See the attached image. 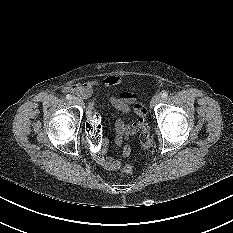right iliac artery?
Returning a JSON list of instances; mask_svg holds the SVG:
<instances>
[{"instance_id": "obj_1", "label": "right iliac artery", "mask_w": 233, "mask_h": 233, "mask_svg": "<svg viewBox=\"0 0 233 233\" xmlns=\"http://www.w3.org/2000/svg\"><path fill=\"white\" fill-rule=\"evenodd\" d=\"M72 98H73L72 95L70 94L66 95V99L71 100Z\"/></svg>"}]
</instances>
